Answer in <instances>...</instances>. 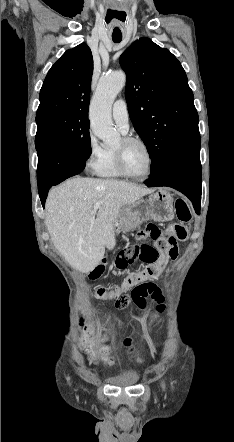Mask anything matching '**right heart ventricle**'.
<instances>
[{"instance_id":"e07e8e85","label":"right heart ventricle","mask_w":234,"mask_h":442,"mask_svg":"<svg viewBox=\"0 0 234 442\" xmlns=\"http://www.w3.org/2000/svg\"><path fill=\"white\" fill-rule=\"evenodd\" d=\"M97 174L104 178H120L122 174L118 171L115 163L114 150L111 148L105 149L103 161L97 171Z\"/></svg>"}]
</instances>
